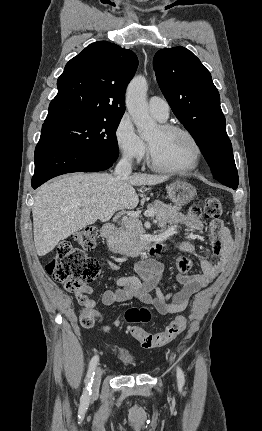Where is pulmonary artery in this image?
Segmentation results:
<instances>
[{
	"instance_id": "e3ab8cb5",
	"label": "pulmonary artery",
	"mask_w": 262,
	"mask_h": 431,
	"mask_svg": "<svg viewBox=\"0 0 262 431\" xmlns=\"http://www.w3.org/2000/svg\"><path fill=\"white\" fill-rule=\"evenodd\" d=\"M148 107L150 112L160 121H165L169 117L168 103L158 96H152L149 99Z\"/></svg>"
}]
</instances>
